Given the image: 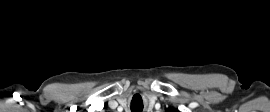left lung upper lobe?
I'll list each match as a JSON object with an SVG mask.
<instances>
[{
    "instance_id": "obj_1",
    "label": "left lung upper lobe",
    "mask_w": 270,
    "mask_h": 112,
    "mask_svg": "<svg viewBox=\"0 0 270 112\" xmlns=\"http://www.w3.org/2000/svg\"><path fill=\"white\" fill-rule=\"evenodd\" d=\"M166 112H180V111L169 108V109L166 110Z\"/></svg>"
}]
</instances>
